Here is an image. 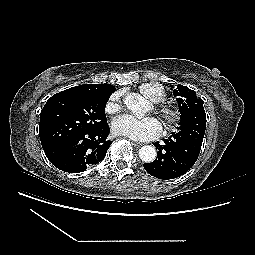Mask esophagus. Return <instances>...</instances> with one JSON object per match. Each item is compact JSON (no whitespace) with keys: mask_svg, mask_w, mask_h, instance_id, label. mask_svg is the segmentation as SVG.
<instances>
[{"mask_svg":"<svg viewBox=\"0 0 255 255\" xmlns=\"http://www.w3.org/2000/svg\"><path fill=\"white\" fill-rule=\"evenodd\" d=\"M132 144H133L135 147H140V146H142V143H141V142L132 141Z\"/></svg>","mask_w":255,"mask_h":255,"instance_id":"34e87169","label":"esophagus"}]
</instances>
